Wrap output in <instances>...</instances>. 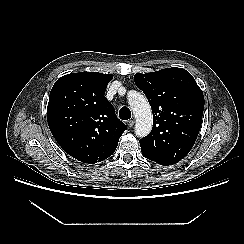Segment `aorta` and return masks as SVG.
<instances>
[{"label":"aorta","mask_w":244,"mask_h":244,"mask_svg":"<svg viewBox=\"0 0 244 244\" xmlns=\"http://www.w3.org/2000/svg\"><path fill=\"white\" fill-rule=\"evenodd\" d=\"M128 103L136 119V135L139 137H144L148 135L152 128L153 118L151 107L146 97L139 92L133 91L128 96Z\"/></svg>","instance_id":"1"}]
</instances>
